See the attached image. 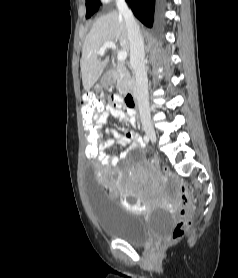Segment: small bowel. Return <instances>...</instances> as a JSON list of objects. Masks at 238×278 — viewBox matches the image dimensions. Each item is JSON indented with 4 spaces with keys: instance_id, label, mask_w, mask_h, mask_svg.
<instances>
[{
    "instance_id": "c3829d8e",
    "label": "small bowel",
    "mask_w": 238,
    "mask_h": 278,
    "mask_svg": "<svg viewBox=\"0 0 238 278\" xmlns=\"http://www.w3.org/2000/svg\"><path fill=\"white\" fill-rule=\"evenodd\" d=\"M110 100L111 103L101 113L96 121V124H102L104 127L106 120L112 116L118 117L122 121H128L132 126H135L136 113L126 104L122 97L119 95H113ZM114 139H116V143H114ZM129 144H132V147L134 148H142L144 145L141 137L133 130L122 134L114 129H107L106 137L103 138L101 155L98 156V159L96 160L102 165H115L118 162V157L109 155L106 150L112 149L115 151ZM127 154L128 150L122 151L120 153V158L126 157Z\"/></svg>"
}]
</instances>
